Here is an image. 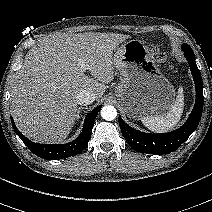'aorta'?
<instances>
[{
    "mask_svg": "<svg viewBox=\"0 0 212 212\" xmlns=\"http://www.w3.org/2000/svg\"><path fill=\"white\" fill-rule=\"evenodd\" d=\"M101 116L103 119H105L107 121H112L117 116V110L112 105H106V106L102 107V109H101Z\"/></svg>",
    "mask_w": 212,
    "mask_h": 212,
    "instance_id": "obj_1",
    "label": "aorta"
}]
</instances>
